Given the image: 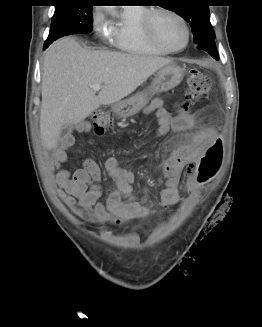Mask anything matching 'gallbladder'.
Returning <instances> with one entry per match:
<instances>
[{
	"label": "gallbladder",
	"instance_id": "obj_1",
	"mask_svg": "<svg viewBox=\"0 0 262 327\" xmlns=\"http://www.w3.org/2000/svg\"><path fill=\"white\" fill-rule=\"evenodd\" d=\"M72 132V126H66L62 129V135L68 136Z\"/></svg>",
	"mask_w": 262,
	"mask_h": 327
}]
</instances>
